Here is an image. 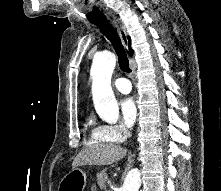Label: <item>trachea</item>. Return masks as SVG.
<instances>
[{
    "label": "trachea",
    "mask_w": 221,
    "mask_h": 191,
    "mask_svg": "<svg viewBox=\"0 0 221 191\" xmlns=\"http://www.w3.org/2000/svg\"><path fill=\"white\" fill-rule=\"evenodd\" d=\"M92 24L98 26L101 32L106 36L108 40L112 43L119 61V66L123 72H131L129 67V61L125 49L121 43V39L116 31V29L110 24L106 18H100L94 21H91Z\"/></svg>",
    "instance_id": "3493384b"
}]
</instances>
